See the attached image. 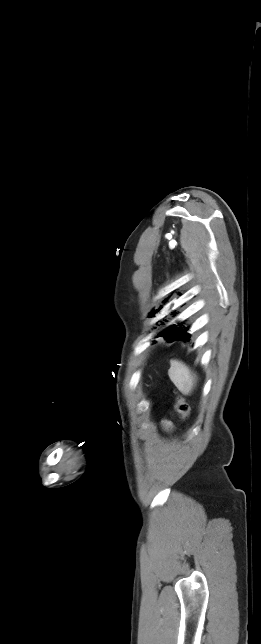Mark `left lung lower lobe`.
<instances>
[{
  "mask_svg": "<svg viewBox=\"0 0 261 644\" xmlns=\"http://www.w3.org/2000/svg\"><path fill=\"white\" fill-rule=\"evenodd\" d=\"M188 328H180L176 331H173L169 333L165 338H167V341L172 342L175 340H181V341H189L191 338V334L187 332Z\"/></svg>",
  "mask_w": 261,
  "mask_h": 644,
  "instance_id": "0a47b994",
  "label": "left lung lower lobe"
}]
</instances>
